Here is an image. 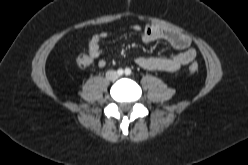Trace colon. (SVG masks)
Here are the masks:
<instances>
[{"instance_id":"1","label":"colon","mask_w":248,"mask_h":165,"mask_svg":"<svg viewBox=\"0 0 248 165\" xmlns=\"http://www.w3.org/2000/svg\"><path fill=\"white\" fill-rule=\"evenodd\" d=\"M92 63V59L89 55L86 54H80L76 58V64L79 68H86L90 66ZM199 69V66L196 63H192L189 66V72L196 73Z\"/></svg>"}]
</instances>
